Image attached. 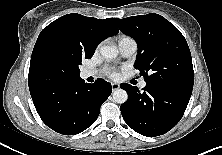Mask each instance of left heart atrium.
<instances>
[{
	"mask_svg": "<svg viewBox=\"0 0 222 155\" xmlns=\"http://www.w3.org/2000/svg\"><path fill=\"white\" fill-rule=\"evenodd\" d=\"M104 72L110 78H117L118 77V73L111 68H105Z\"/></svg>",
	"mask_w": 222,
	"mask_h": 155,
	"instance_id": "left-heart-atrium-1",
	"label": "left heart atrium"
}]
</instances>
